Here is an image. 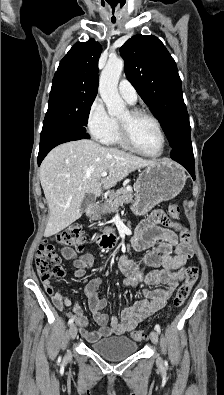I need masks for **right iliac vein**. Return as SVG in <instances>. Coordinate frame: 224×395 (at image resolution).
Masks as SVG:
<instances>
[{"label": "right iliac vein", "mask_w": 224, "mask_h": 395, "mask_svg": "<svg viewBox=\"0 0 224 395\" xmlns=\"http://www.w3.org/2000/svg\"><path fill=\"white\" fill-rule=\"evenodd\" d=\"M76 335H77V326L75 324H72L69 328V337L71 340H73L75 339ZM67 355L70 356L71 352L68 351Z\"/></svg>", "instance_id": "right-iliac-vein-1"}]
</instances>
